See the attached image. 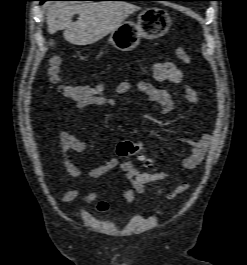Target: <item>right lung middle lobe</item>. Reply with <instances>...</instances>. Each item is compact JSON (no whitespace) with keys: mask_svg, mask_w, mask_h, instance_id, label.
Returning a JSON list of instances; mask_svg holds the SVG:
<instances>
[{"mask_svg":"<svg viewBox=\"0 0 247 265\" xmlns=\"http://www.w3.org/2000/svg\"><path fill=\"white\" fill-rule=\"evenodd\" d=\"M42 3H44L45 1H48V0H40ZM94 1H103V0H94Z\"/></svg>","mask_w":247,"mask_h":265,"instance_id":"dd1d6c3e","label":"right lung middle lobe"}]
</instances>
